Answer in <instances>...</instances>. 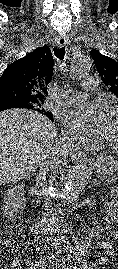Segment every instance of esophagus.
<instances>
[{
    "label": "esophagus",
    "instance_id": "1",
    "mask_svg": "<svg viewBox=\"0 0 118 269\" xmlns=\"http://www.w3.org/2000/svg\"><path fill=\"white\" fill-rule=\"evenodd\" d=\"M68 44H69V41H68V39L65 38V37H61V38H59V39L57 40V47H58V48H61V47H63V46H67ZM86 157H87V155H86V153L83 152V151H76V152L73 154V156H72L73 160L76 161V162L85 160Z\"/></svg>",
    "mask_w": 118,
    "mask_h": 269
}]
</instances>
